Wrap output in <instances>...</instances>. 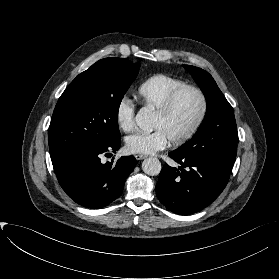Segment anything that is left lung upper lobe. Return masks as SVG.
<instances>
[{
	"label": "left lung upper lobe",
	"mask_w": 279,
	"mask_h": 279,
	"mask_svg": "<svg viewBox=\"0 0 279 279\" xmlns=\"http://www.w3.org/2000/svg\"><path fill=\"white\" fill-rule=\"evenodd\" d=\"M207 102L204 120L191 140L174 150L181 157L211 159L232 168L237 153V127L232 106L212 76L200 68L187 66Z\"/></svg>",
	"instance_id": "1"
}]
</instances>
